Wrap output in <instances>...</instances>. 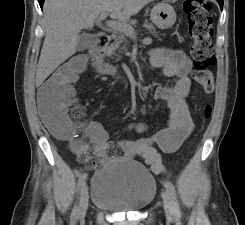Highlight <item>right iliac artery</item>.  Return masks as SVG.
Wrapping results in <instances>:
<instances>
[{"mask_svg":"<svg viewBox=\"0 0 245 225\" xmlns=\"http://www.w3.org/2000/svg\"><path fill=\"white\" fill-rule=\"evenodd\" d=\"M87 173H84L82 174L80 177H79V180H78V184H77V189L78 191L81 190L83 184L85 183V180L87 178ZM77 214H78V206L77 204L74 206L73 210H72V213H71V220L75 221L76 218H77Z\"/></svg>","mask_w":245,"mask_h":225,"instance_id":"82829eb1","label":"right iliac artery"}]
</instances>
